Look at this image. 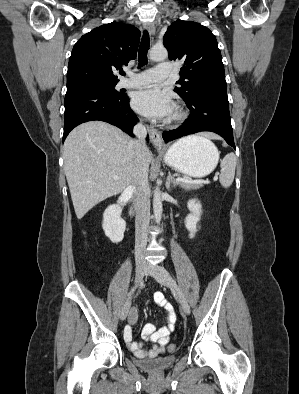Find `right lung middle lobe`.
I'll return each instance as SVG.
<instances>
[{"instance_id":"right-lung-middle-lobe-1","label":"right lung middle lobe","mask_w":299,"mask_h":394,"mask_svg":"<svg viewBox=\"0 0 299 394\" xmlns=\"http://www.w3.org/2000/svg\"><path fill=\"white\" fill-rule=\"evenodd\" d=\"M117 82H109V83H91V84H87L84 85L82 87H104V88H108L110 90H112L113 92L117 93L118 92L114 89V87L116 86ZM81 88V87H79Z\"/></svg>"}]
</instances>
